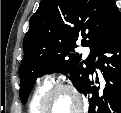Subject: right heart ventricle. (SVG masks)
<instances>
[{
  "instance_id": "obj_1",
  "label": "right heart ventricle",
  "mask_w": 121,
  "mask_h": 113,
  "mask_svg": "<svg viewBox=\"0 0 121 113\" xmlns=\"http://www.w3.org/2000/svg\"><path fill=\"white\" fill-rule=\"evenodd\" d=\"M48 86H49V82L46 81V82H44L43 84H41V85L36 89L35 93L33 94L31 103H30V107H29L30 110H35V109H37L39 100H40V98H41V96H42V93H43V91H44Z\"/></svg>"
}]
</instances>
